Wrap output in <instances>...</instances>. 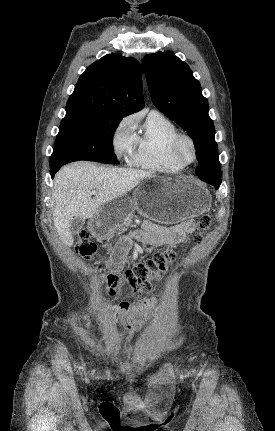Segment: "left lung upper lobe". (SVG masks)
Returning a JSON list of instances; mask_svg holds the SVG:
<instances>
[{
    "mask_svg": "<svg viewBox=\"0 0 275 431\" xmlns=\"http://www.w3.org/2000/svg\"><path fill=\"white\" fill-rule=\"evenodd\" d=\"M143 68L154 105L193 139L199 161L196 174L212 172L221 180L208 101L189 66L173 52H157L145 56Z\"/></svg>",
    "mask_w": 275,
    "mask_h": 431,
    "instance_id": "left-lung-upper-lobe-1",
    "label": "left lung upper lobe"
}]
</instances>
